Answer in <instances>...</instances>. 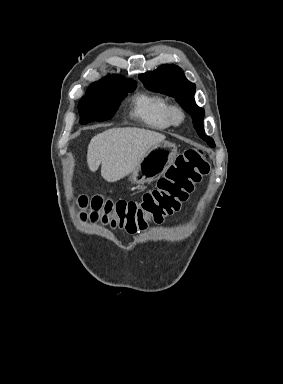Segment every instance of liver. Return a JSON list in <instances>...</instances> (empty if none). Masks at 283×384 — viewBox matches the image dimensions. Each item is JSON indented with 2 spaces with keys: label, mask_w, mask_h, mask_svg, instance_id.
I'll return each mask as SVG.
<instances>
[{
  "label": "liver",
  "mask_w": 283,
  "mask_h": 384,
  "mask_svg": "<svg viewBox=\"0 0 283 384\" xmlns=\"http://www.w3.org/2000/svg\"><path fill=\"white\" fill-rule=\"evenodd\" d=\"M166 136L141 128H112L92 138L87 152V164L96 172L101 164V176L106 182H118L136 170L141 158Z\"/></svg>",
  "instance_id": "6515ba94"
}]
</instances>
